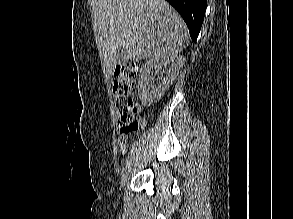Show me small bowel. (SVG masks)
Returning <instances> with one entry per match:
<instances>
[{
	"mask_svg": "<svg viewBox=\"0 0 293 219\" xmlns=\"http://www.w3.org/2000/svg\"><path fill=\"white\" fill-rule=\"evenodd\" d=\"M129 142H130L129 135L120 131L118 136V143H119V149L121 153L123 154L126 153Z\"/></svg>",
	"mask_w": 293,
	"mask_h": 219,
	"instance_id": "1",
	"label": "small bowel"
}]
</instances>
